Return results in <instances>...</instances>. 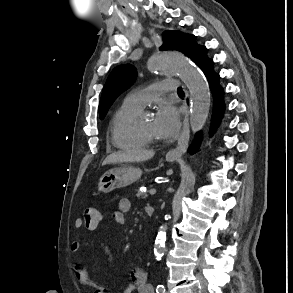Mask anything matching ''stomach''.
Masks as SVG:
<instances>
[{
  "label": "stomach",
  "instance_id": "0dacf381",
  "mask_svg": "<svg viewBox=\"0 0 293 293\" xmlns=\"http://www.w3.org/2000/svg\"><path fill=\"white\" fill-rule=\"evenodd\" d=\"M172 162L175 158L167 157ZM142 171L133 166L124 165L105 172L98 182V191L103 193L111 192L118 188L129 186L140 179Z\"/></svg>",
  "mask_w": 293,
  "mask_h": 293
}]
</instances>
